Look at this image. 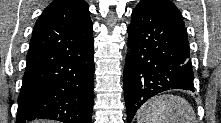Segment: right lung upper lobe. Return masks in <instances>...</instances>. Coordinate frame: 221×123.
Listing matches in <instances>:
<instances>
[{"label":"right lung upper lobe","mask_w":221,"mask_h":123,"mask_svg":"<svg viewBox=\"0 0 221 123\" xmlns=\"http://www.w3.org/2000/svg\"><path fill=\"white\" fill-rule=\"evenodd\" d=\"M92 26L84 0H54L35 23L29 49L70 43L91 32Z\"/></svg>","instance_id":"right-lung-upper-lobe-1"}]
</instances>
